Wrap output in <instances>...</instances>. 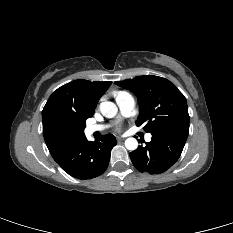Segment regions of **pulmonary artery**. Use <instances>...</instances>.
<instances>
[{
  "label": "pulmonary artery",
  "instance_id": "pulmonary-artery-1",
  "mask_svg": "<svg viewBox=\"0 0 233 233\" xmlns=\"http://www.w3.org/2000/svg\"><path fill=\"white\" fill-rule=\"evenodd\" d=\"M120 112L123 116H130L135 109V100L131 95H124L116 99ZM106 125L102 124H92L86 127L87 134H93L94 132L102 131L106 129ZM152 135L147 134L145 139L146 141L151 140Z\"/></svg>",
  "mask_w": 233,
  "mask_h": 233
}]
</instances>
